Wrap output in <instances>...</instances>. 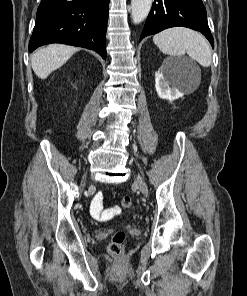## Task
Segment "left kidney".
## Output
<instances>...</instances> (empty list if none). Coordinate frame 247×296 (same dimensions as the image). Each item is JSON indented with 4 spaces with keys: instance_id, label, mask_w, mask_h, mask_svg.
I'll return each instance as SVG.
<instances>
[{
    "instance_id": "left-kidney-1",
    "label": "left kidney",
    "mask_w": 247,
    "mask_h": 296,
    "mask_svg": "<svg viewBox=\"0 0 247 296\" xmlns=\"http://www.w3.org/2000/svg\"><path fill=\"white\" fill-rule=\"evenodd\" d=\"M192 75L187 65L179 59H166L155 73V88L160 98L174 101L184 96L180 90L192 83Z\"/></svg>"
}]
</instances>
